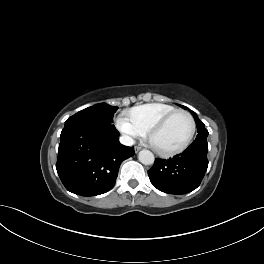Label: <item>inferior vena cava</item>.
<instances>
[{
  "label": "inferior vena cava",
  "mask_w": 264,
  "mask_h": 264,
  "mask_svg": "<svg viewBox=\"0 0 264 264\" xmlns=\"http://www.w3.org/2000/svg\"><path fill=\"white\" fill-rule=\"evenodd\" d=\"M120 143L126 146H132L134 145V140L127 135H123L120 137Z\"/></svg>",
  "instance_id": "602c4592"
}]
</instances>
